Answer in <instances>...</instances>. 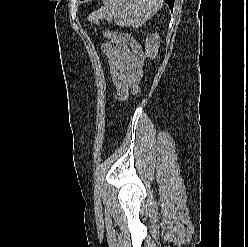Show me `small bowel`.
<instances>
[{
	"label": "small bowel",
	"instance_id": "c3829d8e",
	"mask_svg": "<svg viewBox=\"0 0 248 247\" xmlns=\"http://www.w3.org/2000/svg\"><path fill=\"white\" fill-rule=\"evenodd\" d=\"M102 50L109 64L115 98L125 100L138 89L143 75L136 63L135 52L131 46L118 40L103 43Z\"/></svg>",
	"mask_w": 248,
	"mask_h": 247
}]
</instances>
